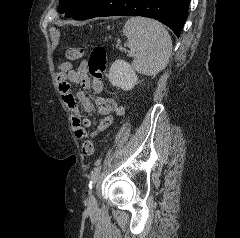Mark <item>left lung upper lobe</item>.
I'll list each match as a JSON object with an SVG mask.
<instances>
[{"instance_id":"left-lung-upper-lobe-1","label":"left lung upper lobe","mask_w":240,"mask_h":238,"mask_svg":"<svg viewBox=\"0 0 240 238\" xmlns=\"http://www.w3.org/2000/svg\"><path fill=\"white\" fill-rule=\"evenodd\" d=\"M91 0H60L59 9L65 13L66 17H76L79 15Z\"/></svg>"}]
</instances>
